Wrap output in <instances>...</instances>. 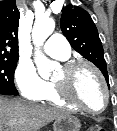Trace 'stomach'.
Masks as SVG:
<instances>
[{"instance_id": "1", "label": "stomach", "mask_w": 117, "mask_h": 131, "mask_svg": "<svg viewBox=\"0 0 117 131\" xmlns=\"http://www.w3.org/2000/svg\"><path fill=\"white\" fill-rule=\"evenodd\" d=\"M81 123L78 118L72 115H64L55 119L54 131H80Z\"/></svg>"}]
</instances>
